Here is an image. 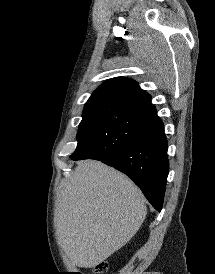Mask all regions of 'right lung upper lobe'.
Here are the masks:
<instances>
[{"label":"right lung upper lobe","instance_id":"1","mask_svg":"<svg viewBox=\"0 0 215 274\" xmlns=\"http://www.w3.org/2000/svg\"><path fill=\"white\" fill-rule=\"evenodd\" d=\"M117 102L146 112L156 113L151 96L132 79L117 77L100 85L87 102Z\"/></svg>","mask_w":215,"mask_h":274}]
</instances>
